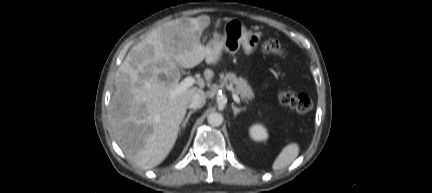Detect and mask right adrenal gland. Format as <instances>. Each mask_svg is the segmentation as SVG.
Listing matches in <instances>:
<instances>
[{
	"label": "right adrenal gland",
	"mask_w": 432,
	"mask_h": 193,
	"mask_svg": "<svg viewBox=\"0 0 432 193\" xmlns=\"http://www.w3.org/2000/svg\"><path fill=\"white\" fill-rule=\"evenodd\" d=\"M195 112H196L195 109L189 111L188 114H187V116L183 119L182 124H181V127H182L183 129L186 127V124L188 123V120H189L190 116H191L193 113H195Z\"/></svg>",
	"instance_id": "2a0ac1e0"
}]
</instances>
